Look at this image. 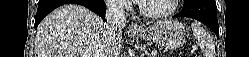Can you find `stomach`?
<instances>
[{"mask_svg":"<svg viewBox=\"0 0 249 57\" xmlns=\"http://www.w3.org/2000/svg\"><path fill=\"white\" fill-rule=\"evenodd\" d=\"M185 26L174 20L157 21L153 25L145 27L133 35L145 41H152L166 49H177L185 42Z\"/></svg>","mask_w":249,"mask_h":57,"instance_id":"stomach-1","label":"stomach"}]
</instances>
